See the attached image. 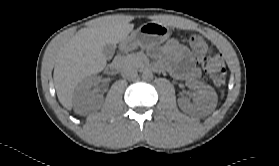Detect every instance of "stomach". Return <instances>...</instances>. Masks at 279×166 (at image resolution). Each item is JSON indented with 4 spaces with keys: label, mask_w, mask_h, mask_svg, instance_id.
I'll return each mask as SVG.
<instances>
[{
    "label": "stomach",
    "mask_w": 279,
    "mask_h": 166,
    "mask_svg": "<svg viewBox=\"0 0 279 166\" xmlns=\"http://www.w3.org/2000/svg\"><path fill=\"white\" fill-rule=\"evenodd\" d=\"M170 35L171 31L169 28L161 23H145L123 39L120 43V48L123 51H131L137 47L149 49L159 46L165 42Z\"/></svg>",
    "instance_id": "obj_1"
}]
</instances>
